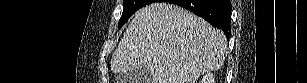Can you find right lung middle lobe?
Masks as SVG:
<instances>
[{"mask_svg":"<svg viewBox=\"0 0 307 83\" xmlns=\"http://www.w3.org/2000/svg\"><path fill=\"white\" fill-rule=\"evenodd\" d=\"M154 0H124L123 13L119 20L118 28L122 25L140 8L153 3Z\"/></svg>","mask_w":307,"mask_h":83,"instance_id":"dd1d6c3e","label":"right lung middle lobe"}]
</instances>
